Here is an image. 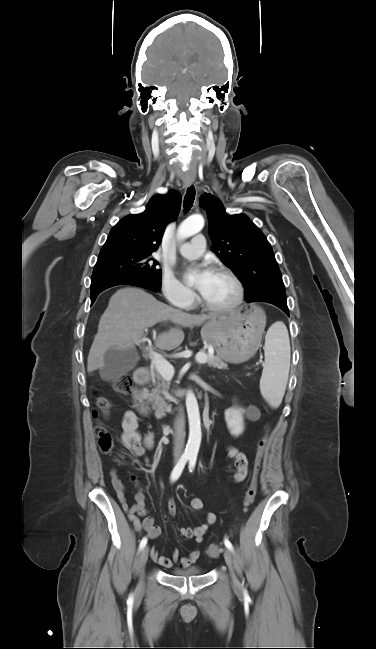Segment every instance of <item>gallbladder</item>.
<instances>
[{
    "mask_svg": "<svg viewBox=\"0 0 376 649\" xmlns=\"http://www.w3.org/2000/svg\"><path fill=\"white\" fill-rule=\"evenodd\" d=\"M139 360L135 349H108L104 354V365L99 369L100 376L105 381L116 380L133 369Z\"/></svg>",
    "mask_w": 376,
    "mask_h": 649,
    "instance_id": "1",
    "label": "gallbladder"
}]
</instances>
